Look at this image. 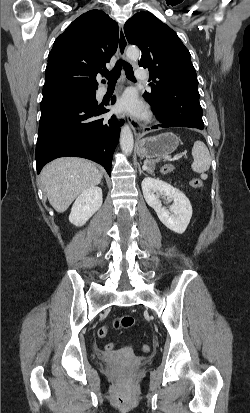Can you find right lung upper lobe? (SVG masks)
Masks as SVG:
<instances>
[{"mask_svg": "<svg viewBox=\"0 0 250 413\" xmlns=\"http://www.w3.org/2000/svg\"><path fill=\"white\" fill-rule=\"evenodd\" d=\"M119 27L105 12L90 10L55 40L45 70L43 96L72 89H97L96 75L106 69L118 47Z\"/></svg>", "mask_w": 250, "mask_h": 413, "instance_id": "cb5924a9", "label": "right lung upper lobe"}]
</instances>
